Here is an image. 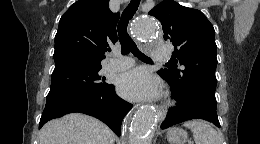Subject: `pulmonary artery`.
I'll use <instances>...</instances> for the list:
<instances>
[{"mask_svg": "<svg viewBox=\"0 0 260 144\" xmlns=\"http://www.w3.org/2000/svg\"><path fill=\"white\" fill-rule=\"evenodd\" d=\"M169 50L167 48L155 49L152 52V59L157 61H164L169 58ZM134 64L133 60L127 56H118L111 59L107 65L109 71H123L129 69Z\"/></svg>", "mask_w": 260, "mask_h": 144, "instance_id": "pulmonary-artery-1", "label": "pulmonary artery"}]
</instances>
